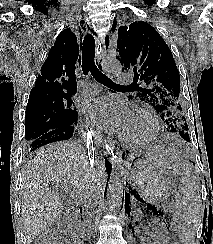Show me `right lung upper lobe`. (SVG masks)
<instances>
[{"label": "right lung upper lobe", "mask_w": 213, "mask_h": 244, "mask_svg": "<svg viewBox=\"0 0 213 244\" xmlns=\"http://www.w3.org/2000/svg\"><path fill=\"white\" fill-rule=\"evenodd\" d=\"M78 58L80 57L77 38L70 29H65L57 36L54 46L50 49L29 98L75 94V68Z\"/></svg>", "instance_id": "1"}]
</instances>
